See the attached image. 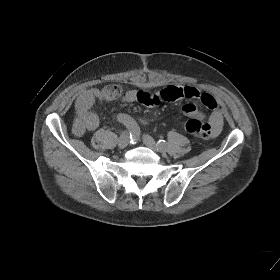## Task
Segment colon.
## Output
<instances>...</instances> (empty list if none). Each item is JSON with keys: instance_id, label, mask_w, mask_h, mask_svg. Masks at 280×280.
I'll list each match as a JSON object with an SVG mask.
<instances>
[{"instance_id": "obj_1", "label": "colon", "mask_w": 280, "mask_h": 280, "mask_svg": "<svg viewBox=\"0 0 280 280\" xmlns=\"http://www.w3.org/2000/svg\"><path fill=\"white\" fill-rule=\"evenodd\" d=\"M110 98H117L122 95L123 89L120 85H111L104 89ZM186 131L201 138L211 137L214 133L213 127L209 123H203L199 119L192 118L185 125Z\"/></svg>"}]
</instances>
